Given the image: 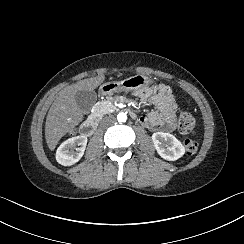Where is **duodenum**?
<instances>
[{
	"instance_id": "obj_1",
	"label": "duodenum",
	"mask_w": 244,
	"mask_h": 244,
	"mask_svg": "<svg viewBox=\"0 0 244 244\" xmlns=\"http://www.w3.org/2000/svg\"><path fill=\"white\" fill-rule=\"evenodd\" d=\"M125 111L129 113L130 117L136 119V113L132 110L126 108ZM99 115L97 113H93L91 116H89L80 126V133L83 136H90L94 133V131L97 128L98 121H99Z\"/></svg>"
}]
</instances>
